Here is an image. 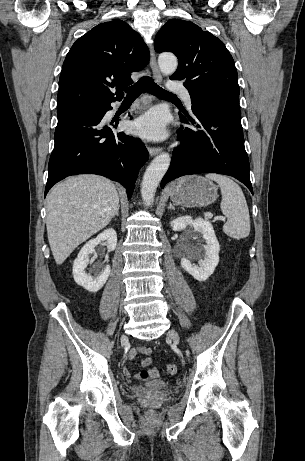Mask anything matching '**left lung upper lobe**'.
<instances>
[{
  "label": "left lung upper lobe",
  "mask_w": 305,
  "mask_h": 461,
  "mask_svg": "<svg viewBox=\"0 0 305 461\" xmlns=\"http://www.w3.org/2000/svg\"><path fill=\"white\" fill-rule=\"evenodd\" d=\"M155 50L173 52L178 68L171 79L185 80L190 95H239L237 70L225 45L189 21L169 20L157 33Z\"/></svg>",
  "instance_id": "left-lung-upper-lobe-1"
}]
</instances>
